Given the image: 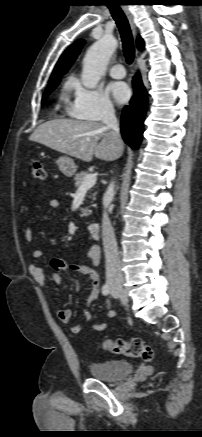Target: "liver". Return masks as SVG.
Listing matches in <instances>:
<instances>
[{
    "instance_id": "6515ba94",
    "label": "liver",
    "mask_w": 202,
    "mask_h": 437,
    "mask_svg": "<svg viewBox=\"0 0 202 437\" xmlns=\"http://www.w3.org/2000/svg\"><path fill=\"white\" fill-rule=\"evenodd\" d=\"M29 140L84 162L93 156L111 161L119 155L118 144L102 122L54 119L39 125Z\"/></svg>"
}]
</instances>
